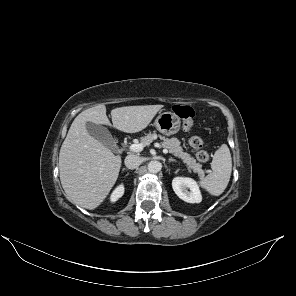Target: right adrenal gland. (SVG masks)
Masks as SVG:
<instances>
[{
  "mask_svg": "<svg viewBox=\"0 0 296 296\" xmlns=\"http://www.w3.org/2000/svg\"><path fill=\"white\" fill-rule=\"evenodd\" d=\"M124 171H128V169H126V168H123V169H122V172H124Z\"/></svg>",
  "mask_w": 296,
  "mask_h": 296,
  "instance_id": "1",
  "label": "right adrenal gland"
}]
</instances>
